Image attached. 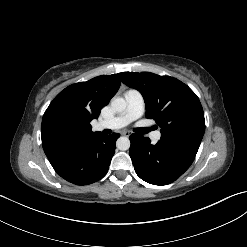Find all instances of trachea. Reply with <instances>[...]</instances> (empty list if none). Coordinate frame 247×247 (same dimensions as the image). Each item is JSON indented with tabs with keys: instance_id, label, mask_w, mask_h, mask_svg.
Returning a JSON list of instances; mask_svg holds the SVG:
<instances>
[{
	"instance_id": "obj_1",
	"label": "trachea",
	"mask_w": 247,
	"mask_h": 247,
	"mask_svg": "<svg viewBox=\"0 0 247 247\" xmlns=\"http://www.w3.org/2000/svg\"><path fill=\"white\" fill-rule=\"evenodd\" d=\"M150 130H151V129L146 128V129H143V131H142V132L146 133V132H148V131H150Z\"/></svg>"
}]
</instances>
